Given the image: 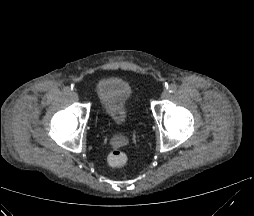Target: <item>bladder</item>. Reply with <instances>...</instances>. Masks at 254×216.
<instances>
[{
  "label": "bladder",
  "mask_w": 254,
  "mask_h": 216,
  "mask_svg": "<svg viewBox=\"0 0 254 216\" xmlns=\"http://www.w3.org/2000/svg\"><path fill=\"white\" fill-rule=\"evenodd\" d=\"M97 91L105 116L116 127H126L133 117L131 89L119 77L108 76L97 85Z\"/></svg>",
  "instance_id": "bladder-1"
}]
</instances>
